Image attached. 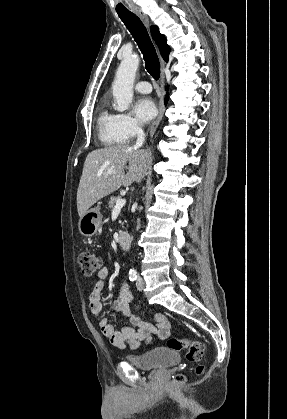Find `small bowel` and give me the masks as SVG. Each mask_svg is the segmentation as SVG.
I'll use <instances>...</instances> for the list:
<instances>
[{"label":"small bowel","instance_id":"small-bowel-1","mask_svg":"<svg viewBox=\"0 0 287 419\" xmlns=\"http://www.w3.org/2000/svg\"><path fill=\"white\" fill-rule=\"evenodd\" d=\"M109 275L107 268L98 271L93 290L89 295V308L92 316L98 321L102 333L117 348L136 349L141 342L150 340L155 334L158 338L164 339L170 333V323L163 313L154 314L155 324L141 320L132 314L129 302L131 294L126 284H122L119 290L118 299L110 303L109 309L112 312H120L128 317L135 327L124 326L121 330H116L108 320L102 315L103 303L101 294L105 280Z\"/></svg>","mask_w":287,"mask_h":419}]
</instances>
